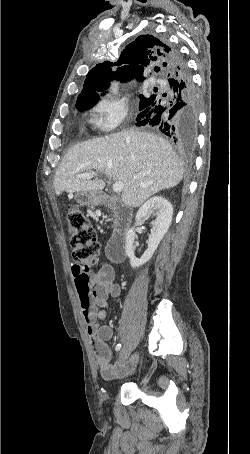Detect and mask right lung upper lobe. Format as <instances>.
Here are the masks:
<instances>
[{"mask_svg": "<svg viewBox=\"0 0 250 454\" xmlns=\"http://www.w3.org/2000/svg\"><path fill=\"white\" fill-rule=\"evenodd\" d=\"M153 65L158 66L154 70L162 76L167 74L171 66L169 48L166 42L152 35H141L125 47L119 60L104 61L89 71L76 103L97 102L98 92L106 90L112 79L126 82L136 77L142 81L144 67Z\"/></svg>", "mask_w": 250, "mask_h": 454, "instance_id": "right-lung-upper-lobe-1", "label": "right lung upper lobe"}]
</instances>
